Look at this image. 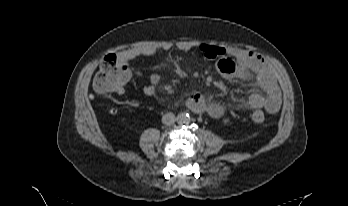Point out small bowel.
Wrapping results in <instances>:
<instances>
[{
    "instance_id": "obj_1",
    "label": "small bowel",
    "mask_w": 348,
    "mask_h": 206,
    "mask_svg": "<svg viewBox=\"0 0 348 206\" xmlns=\"http://www.w3.org/2000/svg\"><path fill=\"white\" fill-rule=\"evenodd\" d=\"M176 47L183 52L198 49L205 58L216 61L218 72L226 78L253 81L263 91V94L252 93L244 103L245 108L265 109L270 114L279 111L281 106L280 88L272 68L261 57L241 49H226L220 45L195 44L190 41H179ZM170 49L169 45L143 46L121 52L119 60L128 67L130 75L144 81L143 92L151 96L155 94L161 82V76L156 73L145 76L141 71L132 68L129 63L135 59L155 55ZM188 105L192 110L204 111L214 118H222L227 114V110L222 105L208 103L198 93H194L189 97Z\"/></svg>"
}]
</instances>
